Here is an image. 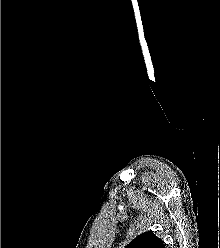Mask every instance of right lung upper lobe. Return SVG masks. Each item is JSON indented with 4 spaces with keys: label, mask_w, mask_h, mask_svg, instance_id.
I'll return each mask as SVG.
<instances>
[{
    "label": "right lung upper lobe",
    "mask_w": 220,
    "mask_h": 248,
    "mask_svg": "<svg viewBox=\"0 0 220 248\" xmlns=\"http://www.w3.org/2000/svg\"><path fill=\"white\" fill-rule=\"evenodd\" d=\"M125 248H165L164 242L152 232H145L138 235Z\"/></svg>",
    "instance_id": "right-lung-upper-lobe-1"
}]
</instances>
